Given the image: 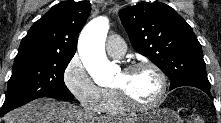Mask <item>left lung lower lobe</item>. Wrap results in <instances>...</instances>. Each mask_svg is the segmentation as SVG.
<instances>
[{"instance_id": "0a47b994", "label": "left lung lower lobe", "mask_w": 221, "mask_h": 123, "mask_svg": "<svg viewBox=\"0 0 221 123\" xmlns=\"http://www.w3.org/2000/svg\"><path fill=\"white\" fill-rule=\"evenodd\" d=\"M197 88H198V87H197ZM199 89H201L202 91H204L205 93H207V94L212 98L211 93H210V89H206V88H199Z\"/></svg>"}]
</instances>
